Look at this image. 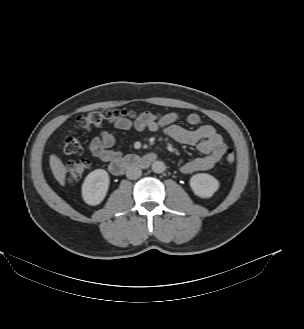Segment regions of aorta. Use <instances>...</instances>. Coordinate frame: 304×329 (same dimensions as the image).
Masks as SVG:
<instances>
[{"label": "aorta", "mask_w": 304, "mask_h": 329, "mask_svg": "<svg viewBox=\"0 0 304 329\" xmlns=\"http://www.w3.org/2000/svg\"><path fill=\"white\" fill-rule=\"evenodd\" d=\"M165 164L164 162L162 161H155L153 164H152V170L153 172L155 173H163L165 171Z\"/></svg>", "instance_id": "1"}]
</instances>
